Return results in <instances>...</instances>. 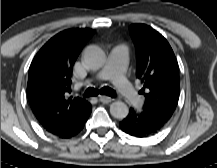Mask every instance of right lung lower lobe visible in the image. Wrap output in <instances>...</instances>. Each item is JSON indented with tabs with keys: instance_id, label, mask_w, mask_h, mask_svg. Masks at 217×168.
Here are the masks:
<instances>
[{
	"instance_id": "98d812e1",
	"label": "right lung lower lobe",
	"mask_w": 217,
	"mask_h": 168,
	"mask_svg": "<svg viewBox=\"0 0 217 168\" xmlns=\"http://www.w3.org/2000/svg\"><path fill=\"white\" fill-rule=\"evenodd\" d=\"M92 110V108H91ZM91 110L90 112L84 117L82 118L78 123H76L72 128L66 130V131H63L61 133H58L56 134L57 137L59 138H64V139H67V138H71L75 135H77L84 127L85 125V122L87 121L90 113H91Z\"/></svg>"
}]
</instances>
